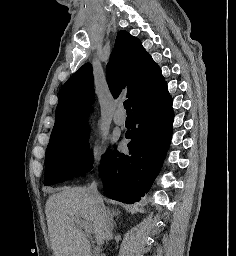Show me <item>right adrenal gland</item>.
<instances>
[{
	"mask_svg": "<svg viewBox=\"0 0 236 256\" xmlns=\"http://www.w3.org/2000/svg\"><path fill=\"white\" fill-rule=\"evenodd\" d=\"M108 214V220H109V230H114L116 222H114L113 218L114 216H119L120 212H114V210H110V208H107L106 210Z\"/></svg>",
	"mask_w": 236,
	"mask_h": 256,
	"instance_id": "2a0ac1e0",
	"label": "right adrenal gland"
}]
</instances>
